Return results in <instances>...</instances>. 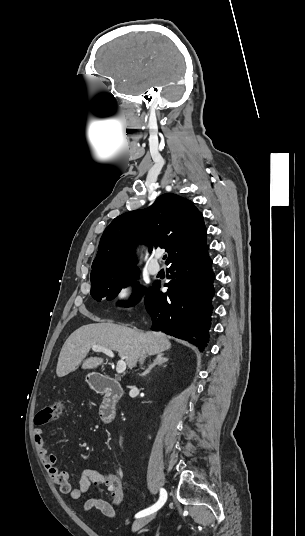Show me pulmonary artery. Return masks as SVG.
I'll list each match as a JSON object with an SVG mask.
<instances>
[{"label": "pulmonary artery", "mask_w": 305, "mask_h": 536, "mask_svg": "<svg viewBox=\"0 0 305 536\" xmlns=\"http://www.w3.org/2000/svg\"><path fill=\"white\" fill-rule=\"evenodd\" d=\"M148 269L151 274L156 275L160 272L161 267L158 263L155 262V263L150 264Z\"/></svg>", "instance_id": "e3ab8cb5"}]
</instances>
